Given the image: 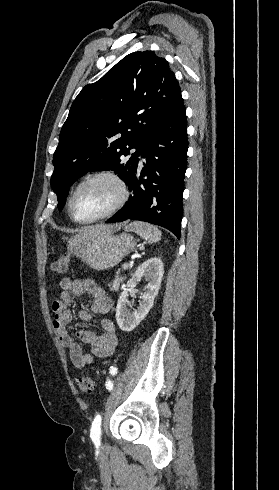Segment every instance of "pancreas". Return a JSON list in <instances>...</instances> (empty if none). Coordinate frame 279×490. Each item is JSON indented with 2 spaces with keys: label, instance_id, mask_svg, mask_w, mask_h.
<instances>
[{
  "label": "pancreas",
  "instance_id": "cf45deb5",
  "mask_svg": "<svg viewBox=\"0 0 279 490\" xmlns=\"http://www.w3.org/2000/svg\"><path fill=\"white\" fill-rule=\"evenodd\" d=\"M120 270H118L115 280H113L112 284H109L111 286L110 290H113V292H117L119 290L120 282H123L124 278H120L119 276Z\"/></svg>",
  "mask_w": 279,
  "mask_h": 490
}]
</instances>
